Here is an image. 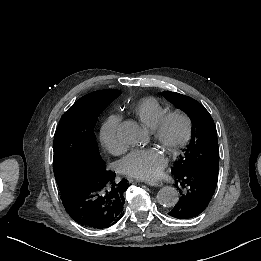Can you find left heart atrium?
<instances>
[{"label": "left heart atrium", "mask_w": 261, "mask_h": 261, "mask_svg": "<svg viewBox=\"0 0 261 261\" xmlns=\"http://www.w3.org/2000/svg\"><path fill=\"white\" fill-rule=\"evenodd\" d=\"M166 165L167 158L162 151L156 147H145L129 152L119 162V169L130 177L155 180L162 175Z\"/></svg>", "instance_id": "39dd6f15"}]
</instances>
